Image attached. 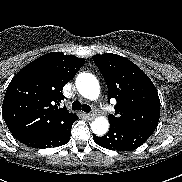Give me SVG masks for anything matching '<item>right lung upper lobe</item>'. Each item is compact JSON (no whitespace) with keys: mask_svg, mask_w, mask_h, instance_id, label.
Returning a JSON list of instances; mask_svg holds the SVG:
<instances>
[{"mask_svg":"<svg viewBox=\"0 0 182 182\" xmlns=\"http://www.w3.org/2000/svg\"><path fill=\"white\" fill-rule=\"evenodd\" d=\"M84 64L83 58L52 52L14 76L4 96L2 114L15 138L22 141L78 118L58 106L65 98L63 86Z\"/></svg>","mask_w":182,"mask_h":182,"instance_id":"right-lung-upper-lobe-1","label":"right lung upper lobe"}]
</instances>
